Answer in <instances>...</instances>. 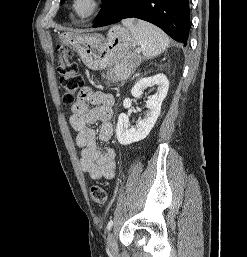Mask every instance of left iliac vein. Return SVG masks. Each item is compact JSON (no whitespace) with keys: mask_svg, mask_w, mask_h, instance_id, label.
Returning <instances> with one entry per match:
<instances>
[{"mask_svg":"<svg viewBox=\"0 0 247 257\" xmlns=\"http://www.w3.org/2000/svg\"><path fill=\"white\" fill-rule=\"evenodd\" d=\"M107 246H108L109 252L111 254L117 253V243H116L115 237L112 232L108 234Z\"/></svg>","mask_w":247,"mask_h":257,"instance_id":"obj_1","label":"left iliac vein"}]
</instances>
